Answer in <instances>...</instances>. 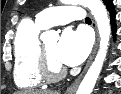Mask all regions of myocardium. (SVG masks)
Instances as JSON below:
<instances>
[{"label": "myocardium", "instance_id": "1", "mask_svg": "<svg viewBox=\"0 0 121 94\" xmlns=\"http://www.w3.org/2000/svg\"><path fill=\"white\" fill-rule=\"evenodd\" d=\"M38 70L43 81L55 82L63 78L67 72L64 67H55L51 64L49 56L43 43L39 45L38 51Z\"/></svg>", "mask_w": 121, "mask_h": 94}]
</instances>
